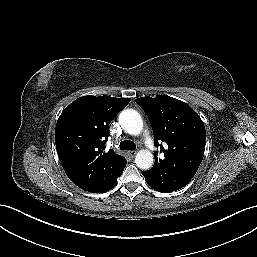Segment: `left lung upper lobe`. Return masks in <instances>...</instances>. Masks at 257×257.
<instances>
[{"label": "left lung upper lobe", "mask_w": 257, "mask_h": 257, "mask_svg": "<svg viewBox=\"0 0 257 257\" xmlns=\"http://www.w3.org/2000/svg\"><path fill=\"white\" fill-rule=\"evenodd\" d=\"M152 125L155 145L164 157L154 153L156 167H171L194 175L204 156L206 132L200 116L185 102L167 95L135 100ZM166 143L164 148L160 142Z\"/></svg>", "instance_id": "5c2ea615"}]
</instances>
